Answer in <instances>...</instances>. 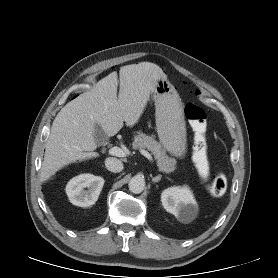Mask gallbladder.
I'll list each match as a JSON object with an SVG mask.
<instances>
[{
    "label": "gallbladder",
    "instance_id": "obj_1",
    "mask_svg": "<svg viewBox=\"0 0 278 278\" xmlns=\"http://www.w3.org/2000/svg\"><path fill=\"white\" fill-rule=\"evenodd\" d=\"M94 135H95L96 143L98 145H104L108 140V137L106 136L104 130L98 124L95 125V134Z\"/></svg>",
    "mask_w": 278,
    "mask_h": 278
}]
</instances>
